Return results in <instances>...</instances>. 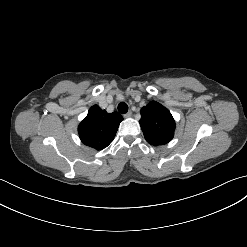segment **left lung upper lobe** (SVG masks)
<instances>
[{
  "mask_svg": "<svg viewBox=\"0 0 247 247\" xmlns=\"http://www.w3.org/2000/svg\"><path fill=\"white\" fill-rule=\"evenodd\" d=\"M141 116L140 126L149 144L164 145L172 140L175 121L168 109L151 101L141 109Z\"/></svg>",
  "mask_w": 247,
  "mask_h": 247,
  "instance_id": "left-lung-upper-lobe-1",
  "label": "left lung upper lobe"
}]
</instances>
